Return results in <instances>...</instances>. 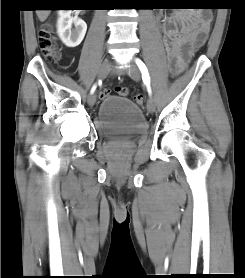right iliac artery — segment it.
<instances>
[{
    "label": "right iliac artery",
    "mask_w": 245,
    "mask_h": 278,
    "mask_svg": "<svg viewBox=\"0 0 245 278\" xmlns=\"http://www.w3.org/2000/svg\"><path fill=\"white\" fill-rule=\"evenodd\" d=\"M95 89H96V85H94V86L92 87L91 93H93V92L95 91Z\"/></svg>",
    "instance_id": "1"
}]
</instances>
